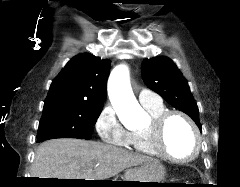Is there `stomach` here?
I'll list each match as a JSON object with an SVG mask.
<instances>
[{
    "label": "stomach",
    "mask_w": 240,
    "mask_h": 187,
    "mask_svg": "<svg viewBox=\"0 0 240 187\" xmlns=\"http://www.w3.org/2000/svg\"><path fill=\"white\" fill-rule=\"evenodd\" d=\"M165 168L159 162H148L143 164L141 167L129 170L125 173V180L130 182H157V183H134L143 184L140 186L155 187L158 183H163L165 178ZM127 182V183H130Z\"/></svg>",
    "instance_id": "0dacf381"
}]
</instances>
